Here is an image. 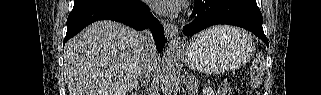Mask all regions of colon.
<instances>
[{"label":"colon","mask_w":321,"mask_h":95,"mask_svg":"<svg viewBox=\"0 0 321 95\" xmlns=\"http://www.w3.org/2000/svg\"><path fill=\"white\" fill-rule=\"evenodd\" d=\"M219 94H221V95H233L234 91H233L232 86L229 83L225 82L220 86Z\"/></svg>","instance_id":"obj_1"}]
</instances>
